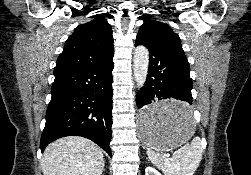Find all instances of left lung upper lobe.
Segmentation results:
<instances>
[{
    "label": "left lung upper lobe",
    "instance_id": "1",
    "mask_svg": "<svg viewBox=\"0 0 251 175\" xmlns=\"http://www.w3.org/2000/svg\"><path fill=\"white\" fill-rule=\"evenodd\" d=\"M137 36L187 58L179 36L173 32L168 24L155 20L152 16L144 18V23L140 26Z\"/></svg>",
    "mask_w": 251,
    "mask_h": 175
}]
</instances>
